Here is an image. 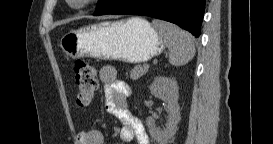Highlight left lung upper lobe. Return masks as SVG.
Instances as JSON below:
<instances>
[{
    "mask_svg": "<svg viewBox=\"0 0 273 144\" xmlns=\"http://www.w3.org/2000/svg\"><path fill=\"white\" fill-rule=\"evenodd\" d=\"M111 2V0H100L97 5L96 12L103 11L105 7Z\"/></svg>",
    "mask_w": 273,
    "mask_h": 144,
    "instance_id": "1",
    "label": "left lung upper lobe"
}]
</instances>
